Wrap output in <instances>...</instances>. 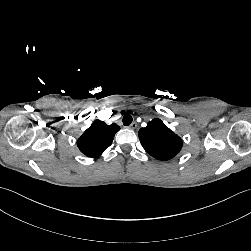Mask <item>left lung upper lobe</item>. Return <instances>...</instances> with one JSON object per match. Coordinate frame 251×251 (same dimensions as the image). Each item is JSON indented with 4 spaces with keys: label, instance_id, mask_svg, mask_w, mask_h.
Listing matches in <instances>:
<instances>
[{
    "label": "left lung upper lobe",
    "instance_id": "left-lung-upper-lobe-1",
    "mask_svg": "<svg viewBox=\"0 0 251 251\" xmlns=\"http://www.w3.org/2000/svg\"><path fill=\"white\" fill-rule=\"evenodd\" d=\"M138 135L144 149L159 160L175 157L182 148L181 138L158 118L141 128Z\"/></svg>",
    "mask_w": 251,
    "mask_h": 251
}]
</instances>
